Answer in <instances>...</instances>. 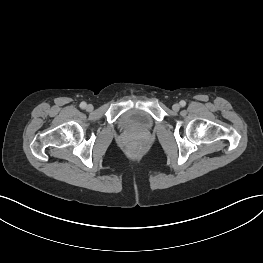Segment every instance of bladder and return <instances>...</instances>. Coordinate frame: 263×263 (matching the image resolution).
<instances>
[{
  "label": "bladder",
  "instance_id": "bladder-1",
  "mask_svg": "<svg viewBox=\"0 0 263 263\" xmlns=\"http://www.w3.org/2000/svg\"><path fill=\"white\" fill-rule=\"evenodd\" d=\"M118 123L126 130L146 131L152 128L154 120L146 110L132 108L120 116Z\"/></svg>",
  "mask_w": 263,
  "mask_h": 263
}]
</instances>
